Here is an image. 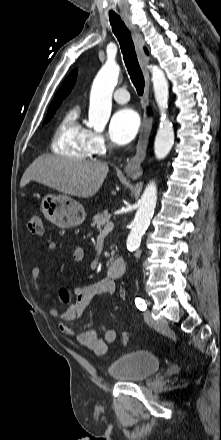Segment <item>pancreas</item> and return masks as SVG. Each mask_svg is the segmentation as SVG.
I'll list each match as a JSON object with an SVG mask.
<instances>
[{"label": "pancreas", "instance_id": "pancreas-1", "mask_svg": "<svg viewBox=\"0 0 221 440\" xmlns=\"http://www.w3.org/2000/svg\"><path fill=\"white\" fill-rule=\"evenodd\" d=\"M111 215L108 213V210H104L101 213H97L93 221L91 223L92 227H96V229L101 230L104 225L109 223Z\"/></svg>", "mask_w": 221, "mask_h": 440}]
</instances>
